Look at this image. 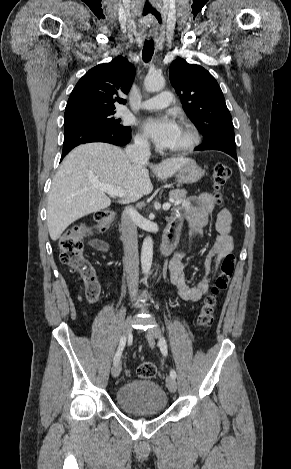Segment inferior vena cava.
<instances>
[{"label": "inferior vena cava", "instance_id": "inferior-vena-cava-1", "mask_svg": "<svg viewBox=\"0 0 291 469\" xmlns=\"http://www.w3.org/2000/svg\"><path fill=\"white\" fill-rule=\"evenodd\" d=\"M127 157L136 163H147L150 158V146L147 140L136 137L134 143L125 149ZM136 210L126 207L122 214V241L124 246V260L126 267V278L131 297H135L138 289V240L137 225L134 220Z\"/></svg>", "mask_w": 291, "mask_h": 469}]
</instances>
